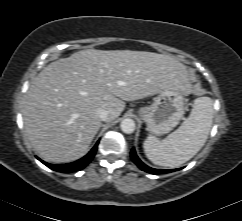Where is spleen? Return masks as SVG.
<instances>
[{
	"label": "spleen",
	"mask_w": 242,
	"mask_h": 221,
	"mask_svg": "<svg viewBox=\"0 0 242 221\" xmlns=\"http://www.w3.org/2000/svg\"><path fill=\"white\" fill-rule=\"evenodd\" d=\"M213 100H194L189 117L181 126L160 141L149 137L143 143L146 157L154 164L178 167L193 158L204 146L213 122Z\"/></svg>",
	"instance_id": "obj_1"
}]
</instances>
